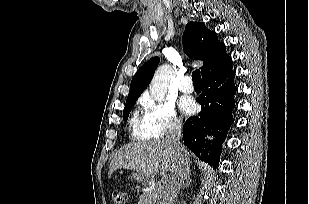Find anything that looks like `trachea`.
I'll use <instances>...</instances> for the list:
<instances>
[{
  "mask_svg": "<svg viewBox=\"0 0 309 204\" xmlns=\"http://www.w3.org/2000/svg\"><path fill=\"white\" fill-rule=\"evenodd\" d=\"M192 79L194 85H201V75H200V70H195L192 73Z\"/></svg>",
  "mask_w": 309,
  "mask_h": 204,
  "instance_id": "trachea-1",
  "label": "trachea"
}]
</instances>
